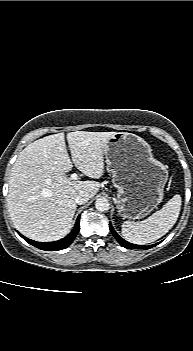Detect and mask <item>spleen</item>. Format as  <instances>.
I'll return each instance as SVG.
<instances>
[{
  "label": "spleen",
  "instance_id": "3e777b00",
  "mask_svg": "<svg viewBox=\"0 0 193 351\" xmlns=\"http://www.w3.org/2000/svg\"><path fill=\"white\" fill-rule=\"evenodd\" d=\"M181 209V196L176 194L161 210L141 222L125 221L123 237L135 244H148L164 236L176 223Z\"/></svg>",
  "mask_w": 193,
  "mask_h": 351
}]
</instances>
